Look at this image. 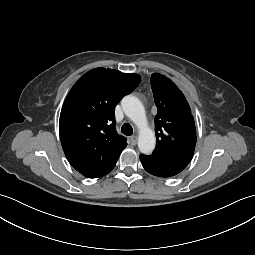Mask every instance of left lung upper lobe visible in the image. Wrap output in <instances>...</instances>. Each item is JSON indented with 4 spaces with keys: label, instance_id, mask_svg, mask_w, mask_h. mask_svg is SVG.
I'll list each match as a JSON object with an SVG mask.
<instances>
[{
    "label": "left lung upper lobe",
    "instance_id": "obj_1",
    "mask_svg": "<svg viewBox=\"0 0 255 255\" xmlns=\"http://www.w3.org/2000/svg\"><path fill=\"white\" fill-rule=\"evenodd\" d=\"M151 87L157 106L156 147L151 156L193 154L196 128L191 109L180 89L166 76L154 73Z\"/></svg>",
    "mask_w": 255,
    "mask_h": 255
}]
</instances>
